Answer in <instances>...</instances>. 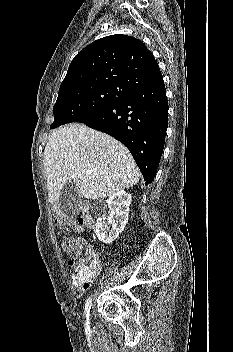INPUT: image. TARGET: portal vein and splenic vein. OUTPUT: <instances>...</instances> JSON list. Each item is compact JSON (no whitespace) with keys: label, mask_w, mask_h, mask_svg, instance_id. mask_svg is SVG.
<instances>
[{"label":"portal vein and splenic vein","mask_w":233,"mask_h":352,"mask_svg":"<svg viewBox=\"0 0 233 352\" xmlns=\"http://www.w3.org/2000/svg\"><path fill=\"white\" fill-rule=\"evenodd\" d=\"M86 173H87V174H90V173H91V171H90V170H87V171H86Z\"/></svg>","instance_id":"portal-vein-and-splenic-vein-1"}]
</instances>
